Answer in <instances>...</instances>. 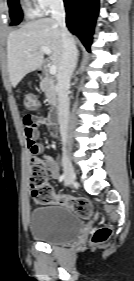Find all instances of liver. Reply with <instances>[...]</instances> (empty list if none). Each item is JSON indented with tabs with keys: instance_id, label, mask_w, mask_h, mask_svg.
Returning a JSON list of instances; mask_svg holds the SVG:
<instances>
[{
	"instance_id": "liver-1",
	"label": "liver",
	"mask_w": 134,
	"mask_h": 281,
	"mask_svg": "<svg viewBox=\"0 0 134 281\" xmlns=\"http://www.w3.org/2000/svg\"><path fill=\"white\" fill-rule=\"evenodd\" d=\"M42 46L51 49L50 60L59 69L62 58L60 28L53 18L34 20L11 32L7 39V66L11 85L39 69L44 60Z\"/></svg>"
}]
</instances>
